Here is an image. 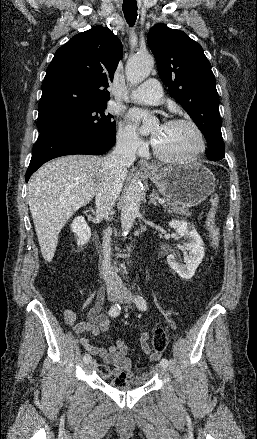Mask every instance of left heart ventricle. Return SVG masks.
<instances>
[{"label":"left heart ventricle","instance_id":"1","mask_svg":"<svg viewBox=\"0 0 257 439\" xmlns=\"http://www.w3.org/2000/svg\"><path fill=\"white\" fill-rule=\"evenodd\" d=\"M155 143L165 154L184 156L198 147V138L188 125H158L154 129Z\"/></svg>","mask_w":257,"mask_h":439}]
</instances>
